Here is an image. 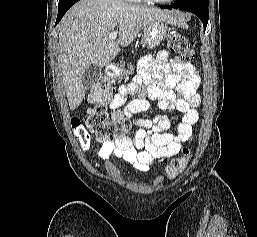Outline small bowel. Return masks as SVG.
I'll return each mask as SVG.
<instances>
[{"instance_id":"obj_1","label":"small bowel","mask_w":257,"mask_h":237,"mask_svg":"<svg viewBox=\"0 0 257 237\" xmlns=\"http://www.w3.org/2000/svg\"><path fill=\"white\" fill-rule=\"evenodd\" d=\"M199 83L200 77L195 68L191 64L171 60L167 50L142 58L135 77L130 83L119 87L110 103L113 119L121 121L147 111L150 108L148 98L156 99L161 111L176 110L179 119L174 128L169 119L162 115L152 120L136 119L135 123L140 128L135 133L116 142L104 143L96 150L97 156L103 162L115 157L123 162L128 171L146 172L154 161H163L177 154L192 136L193 125L198 121L195 108L200 104L197 93ZM129 95L136 97L125 104ZM83 149L89 150L90 145Z\"/></svg>"}]
</instances>
